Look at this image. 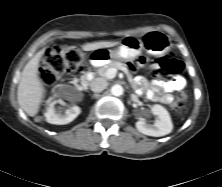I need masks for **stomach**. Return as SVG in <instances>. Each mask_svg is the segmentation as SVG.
<instances>
[{"label": "stomach", "mask_w": 222, "mask_h": 187, "mask_svg": "<svg viewBox=\"0 0 222 187\" xmlns=\"http://www.w3.org/2000/svg\"><path fill=\"white\" fill-rule=\"evenodd\" d=\"M171 47V39L166 33L151 31L142 38L125 37L114 49H96L91 56V61L107 63L110 60H132L142 51L152 55H161L169 51Z\"/></svg>", "instance_id": "stomach-1"}]
</instances>
